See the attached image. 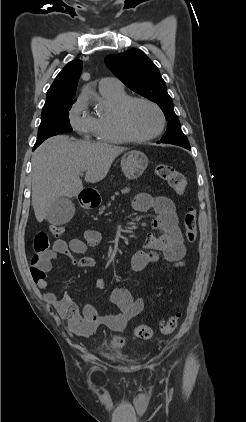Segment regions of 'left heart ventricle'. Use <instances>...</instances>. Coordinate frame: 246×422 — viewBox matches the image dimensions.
<instances>
[{"label": "left heart ventricle", "instance_id": "left-heart-ventricle-1", "mask_svg": "<svg viewBox=\"0 0 246 422\" xmlns=\"http://www.w3.org/2000/svg\"><path fill=\"white\" fill-rule=\"evenodd\" d=\"M128 119L133 131L141 136L154 133L160 124L157 111L150 105L140 102L131 107Z\"/></svg>", "mask_w": 246, "mask_h": 422}]
</instances>
